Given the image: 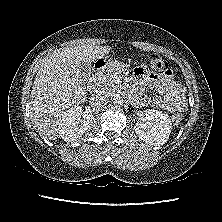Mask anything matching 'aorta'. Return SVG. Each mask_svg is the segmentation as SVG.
<instances>
[{"mask_svg": "<svg viewBox=\"0 0 222 222\" xmlns=\"http://www.w3.org/2000/svg\"><path fill=\"white\" fill-rule=\"evenodd\" d=\"M122 104H123V99L121 97H115L113 99V105L115 107H120V106H122Z\"/></svg>", "mask_w": 222, "mask_h": 222, "instance_id": "obj_1", "label": "aorta"}]
</instances>
